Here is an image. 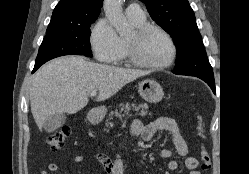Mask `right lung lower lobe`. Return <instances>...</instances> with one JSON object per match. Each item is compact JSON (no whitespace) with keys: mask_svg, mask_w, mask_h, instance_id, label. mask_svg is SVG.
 <instances>
[{"mask_svg":"<svg viewBox=\"0 0 249 174\" xmlns=\"http://www.w3.org/2000/svg\"><path fill=\"white\" fill-rule=\"evenodd\" d=\"M41 65H35L34 66V69H33V72H35Z\"/></svg>","mask_w":249,"mask_h":174,"instance_id":"98d812e1","label":"right lung lower lobe"}]
</instances>
